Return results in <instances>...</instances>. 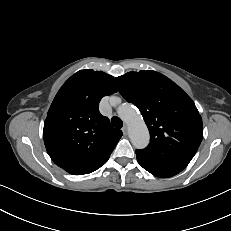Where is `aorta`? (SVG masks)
Segmentation results:
<instances>
[{
	"label": "aorta",
	"instance_id": "1",
	"mask_svg": "<svg viewBox=\"0 0 231 231\" xmlns=\"http://www.w3.org/2000/svg\"><path fill=\"white\" fill-rule=\"evenodd\" d=\"M117 112L128 125L129 137L133 146L137 149L145 148L149 144L150 135L142 116L128 103L121 105Z\"/></svg>",
	"mask_w": 231,
	"mask_h": 231
}]
</instances>
